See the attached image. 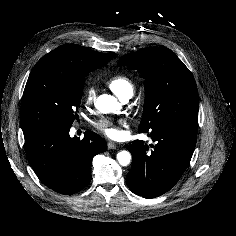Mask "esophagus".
<instances>
[{
	"label": "esophagus",
	"instance_id": "1",
	"mask_svg": "<svg viewBox=\"0 0 236 236\" xmlns=\"http://www.w3.org/2000/svg\"><path fill=\"white\" fill-rule=\"evenodd\" d=\"M117 145L114 142H109L108 143V149L113 150L116 149Z\"/></svg>",
	"mask_w": 236,
	"mask_h": 236
}]
</instances>
